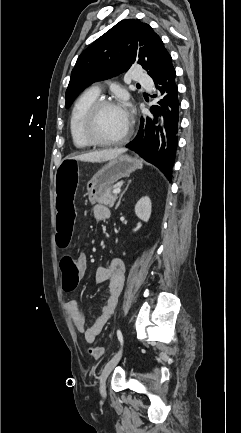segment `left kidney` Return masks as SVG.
Segmentation results:
<instances>
[{"instance_id": "left-kidney-1", "label": "left kidney", "mask_w": 241, "mask_h": 433, "mask_svg": "<svg viewBox=\"0 0 241 433\" xmlns=\"http://www.w3.org/2000/svg\"><path fill=\"white\" fill-rule=\"evenodd\" d=\"M152 204L148 196L142 197L135 205V213L137 217L145 222H148L151 216Z\"/></svg>"}]
</instances>
